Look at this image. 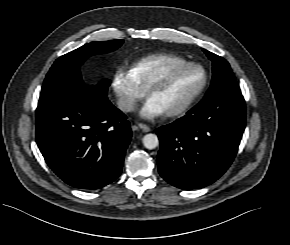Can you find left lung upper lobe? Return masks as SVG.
I'll return each instance as SVG.
<instances>
[{
  "label": "left lung upper lobe",
  "mask_w": 290,
  "mask_h": 245,
  "mask_svg": "<svg viewBox=\"0 0 290 245\" xmlns=\"http://www.w3.org/2000/svg\"><path fill=\"white\" fill-rule=\"evenodd\" d=\"M203 51L213 64L211 86L203 100H209L224 93H241L229 63L212 52L205 49Z\"/></svg>",
  "instance_id": "obj_1"
}]
</instances>
